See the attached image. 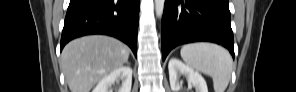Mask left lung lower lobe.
<instances>
[{"instance_id": "1", "label": "left lung lower lobe", "mask_w": 296, "mask_h": 92, "mask_svg": "<svg viewBox=\"0 0 296 92\" xmlns=\"http://www.w3.org/2000/svg\"><path fill=\"white\" fill-rule=\"evenodd\" d=\"M207 41L234 57L228 0H166L162 17V58L178 45Z\"/></svg>"}]
</instances>
